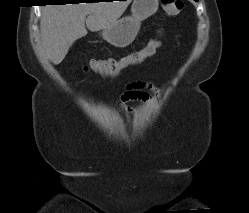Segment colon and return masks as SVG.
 Here are the masks:
<instances>
[{
    "instance_id": "colon-1",
    "label": "colon",
    "mask_w": 249,
    "mask_h": 213,
    "mask_svg": "<svg viewBox=\"0 0 249 213\" xmlns=\"http://www.w3.org/2000/svg\"><path fill=\"white\" fill-rule=\"evenodd\" d=\"M161 4L168 16L178 15L184 8L182 0H161ZM158 45L159 42L157 40H151L141 50L134 51L127 57L92 60L87 68L101 75L115 76L122 69L128 67L130 62L144 60L152 56L156 52Z\"/></svg>"
}]
</instances>
